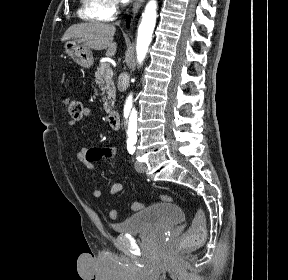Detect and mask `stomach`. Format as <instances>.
Listing matches in <instances>:
<instances>
[{
  "label": "stomach",
  "instance_id": "0dacf381",
  "mask_svg": "<svg viewBox=\"0 0 288 280\" xmlns=\"http://www.w3.org/2000/svg\"><path fill=\"white\" fill-rule=\"evenodd\" d=\"M64 48L65 53L79 66L89 68L93 65L94 58L90 48L84 46L77 40H67L64 44Z\"/></svg>",
  "mask_w": 288,
  "mask_h": 280
}]
</instances>
